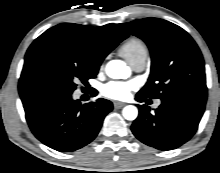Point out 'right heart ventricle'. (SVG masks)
Segmentation results:
<instances>
[{
    "label": "right heart ventricle",
    "instance_id": "right-heart-ventricle-1",
    "mask_svg": "<svg viewBox=\"0 0 220 173\" xmlns=\"http://www.w3.org/2000/svg\"><path fill=\"white\" fill-rule=\"evenodd\" d=\"M147 47L145 43L138 38H131L120 48V53L130 63L139 56H147Z\"/></svg>",
    "mask_w": 220,
    "mask_h": 173
}]
</instances>
